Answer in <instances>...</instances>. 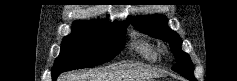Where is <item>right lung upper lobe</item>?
<instances>
[{"label": "right lung upper lobe", "mask_w": 237, "mask_h": 81, "mask_svg": "<svg viewBox=\"0 0 237 81\" xmlns=\"http://www.w3.org/2000/svg\"><path fill=\"white\" fill-rule=\"evenodd\" d=\"M74 23H87V24H99V25H109V24H112V23H109V22H106V21H102V20L76 21ZM113 24H116V22L113 23Z\"/></svg>", "instance_id": "obj_1"}]
</instances>
